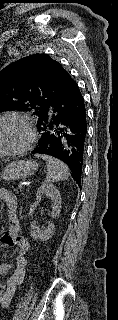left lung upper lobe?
Listing matches in <instances>:
<instances>
[{
	"mask_svg": "<svg viewBox=\"0 0 118 320\" xmlns=\"http://www.w3.org/2000/svg\"><path fill=\"white\" fill-rule=\"evenodd\" d=\"M71 80L68 72L46 54L22 58L0 72V112L25 111L39 120Z\"/></svg>",
	"mask_w": 118,
	"mask_h": 320,
	"instance_id": "5c2ea615",
	"label": "left lung upper lobe"
}]
</instances>
